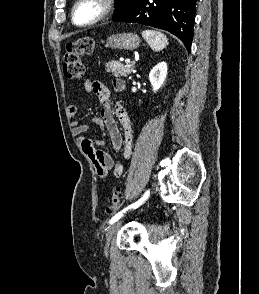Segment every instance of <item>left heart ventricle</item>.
I'll return each mask as SVG.
<instances>
[{
    "instance_id": "b2bd125f",
    "label": "left heart ventricle",
    "mask_w": 259,
    "mask_h": 294,
    "mask_svg": "<svg viewBox=\"0 0 259 294\" xmlns=\"http://www.w3.org/2000/svg\"><path fill=\"white\" fill-rule=\"evenodd\" d=\"M101 11V5L97 0H85L77 9L76 21L86 23L96 18Z\"/></svg>"
}]
</instances>
